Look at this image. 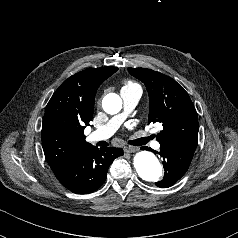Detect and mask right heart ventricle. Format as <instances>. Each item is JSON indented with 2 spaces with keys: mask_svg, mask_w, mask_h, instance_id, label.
<instances>
[{
  "mask_svg": "<svg viewBox=\"0 0 238 238\" xmlns=\"http://www.w3.org/2000/svg\"><path fill=\"white\" fill-rule=\"evenodd\" d=\"M125 89H134V90L140 91L139 85L132 82V81H125L124 82V85H123L121 90H125Z\"/></svg>",
  "mask_w": 238,
  "mask_h": 238,
  "instance_id": "1",
  "label": "right heart ventricle"
}]
</instances>
